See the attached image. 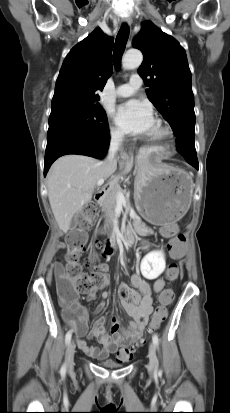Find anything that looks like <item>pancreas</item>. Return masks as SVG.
<instances>
[{"label":"pancreas","instance_id":"cf45deb5","mask_svg":"<svg viewBox=\"0 0 230 413\" xmlns=\"http://www.w3.org/2000/svg\"><path fill=\"white\" fill-rule=\"evenodd\" d=\"M118 192L124 193V191L117 183H113L111 188L105 193V195L99 202L108 222H112L115 218V207L117 203L116 198ZM133 226L137 233L143 234L145 232H143L141 229H145L146 232L153 234V231L151 229H148L138 216H135L133 218Z\"/></svg>","mask_w":230,"mask_h":413}]
</instances>
